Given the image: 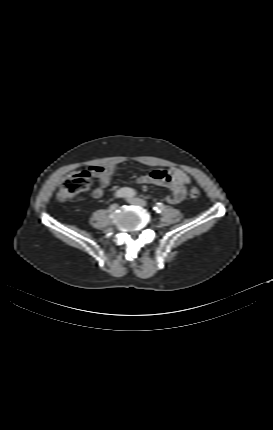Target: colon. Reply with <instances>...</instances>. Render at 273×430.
Masks as SVG:
<instances>
[{
  "label": "colon",
  "instance_id": "obj_1",
  "mask_svg": "<svg viewBox=\"0 0 273 430\" xmlns=\"http://www.w3.org/2000/svg\"><path fill=\"white\" fill-rule=\"evenodd\" d=\"M91 175L89 170L77 171L68 175L57 192V199L60 201L71 200L85 191L90 186ZM189 196L194 199L198 198L200 191L193 187L189 191Z\"/></svg>",
  "mask_w": 273,
  "mask_h": 430
}]
</instances>
